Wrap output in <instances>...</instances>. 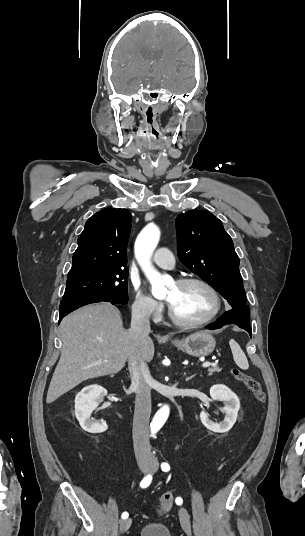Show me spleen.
<instances>
[{
    "mask_svg": "<svg viewBox=\"0 0 305 536\" xmlns=\"http://www.w3.org/2000/svg\"><path fill=\"white\" fill-rule=\"evenodd\" d=\"M229 346L231 348V352L233 354V360H234L236 366H239V368H241V370H248V368H249L248 360H247L243 350H241L239 344H237V342H235V340H230Z\"/></svg>",
    "mask_w": 305,
    "mask_h": 536,
    "instance_id": "3e777b00",
    "label": "spleen"
}]
</instances>
